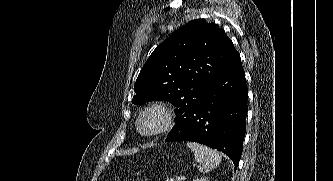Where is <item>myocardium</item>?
I'll list each match as a JSON object with an SVG mask.
<instances>
[{
	"instance_id": "myocardium-1",
	"label": "myocardium",
	"mask_w": 333,
	"mask_h": 181,
	"mask_svg": "<svg viewBox=\"0 0 333 181\" xmlns=\"http://www.w3.org/2000/svg\"><path fill=\"white\" fill-rule=\"evenodd\" d=\"M152 115L157 118V125L151 129H144L142 121ZM175 118V111L170 104L164 101H154L141 109L136 118L135 127L141 136L153 137L170 130L175 123Z\"/></svg>"
}]
</instances>
